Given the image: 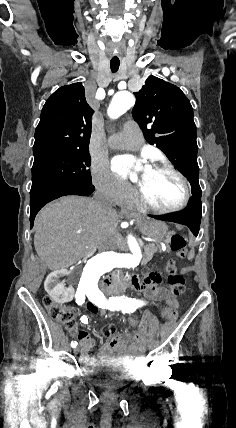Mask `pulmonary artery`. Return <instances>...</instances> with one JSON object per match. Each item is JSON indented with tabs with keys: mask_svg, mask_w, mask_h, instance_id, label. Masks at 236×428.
Here are the masks:
<instances>
[{
	"mask_svg": "<svg viewBox=\"0 0 236 428\" xmlns=\"http://www.w3.org/2000/svg\"><path fill=\"white\" fill-rule=\"evenodd\" d=\"M122 134L119 133L117 134L115 137H120ZM111 147L113 148H118V149H126V150H131L134 149L136 147H138L137 145L133 144L132 142H122V143H118V142H111Z\"/></svg>",
	"mask_w": 236,
	"mask_h": 428,
	"instance_id": "obj_1",
	"label": "pulmonary artery"
}]
</instances>
